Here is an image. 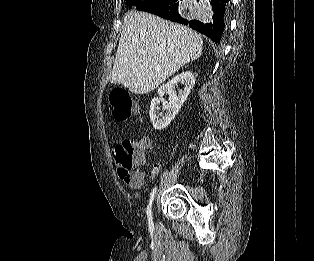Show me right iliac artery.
I'll return each mask as SVG.
<instances>
[{
  "label": "right iliac artery",
  "instance_id": "82829eb1",
  "mask_svg": "<svg viewBox=\"0 0 314 261\" xmlns=\"http://www.w3.org/2000/svg\"><path fill=\"white\" fill-rule=\"evenodd\" d=\"M156 187L151 191L150 193V199H149V204L146 210V214H147V219H148V224H149V228H153V221H152V203L154 201L155 198V194H156Z\"/></svg>",
  "mask_w": 314,
  "mask_h": 261
}]
</instances>
